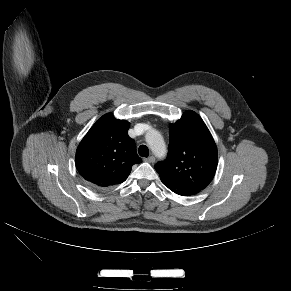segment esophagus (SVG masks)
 <instances>
[{
  "mask_svg": "<svg viewBox=\"0 0 291 291\" xmlns=\"http://www.w3.org/2000/svg\"><path fill=\"white\" fill-rule=\"evenodd\" d=\"M144 161H146L148 163H154L155 162V157L154 156H150L148 158H144Z\"/></svg>",
  "mask_w": 291,
  "mask_h": 291,
  "instance_id": "obj_1",
  "label": "esophagus"
}]
</instances>
